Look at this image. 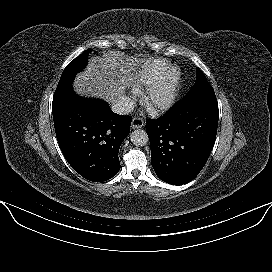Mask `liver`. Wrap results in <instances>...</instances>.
Returning a JSON list of instances; mask_svg holds the SVG:
<instances>
[{"label": "liver", "instance_id": "liver-1", "mask_svg": "<svg viewBox=\"0 0 272 272\" xmlns=\"http://www.w3.org/2000/svg\"><path fill=\"white\" fill-rule=\"evenodd\" d=\"M139 64L137 57L109 50L89 60L86 70L76 76L74 89L80 95L100 97L113 103L124 96L129 86L138 82Z\"/></svg>", "mask_w": 272, "mask_h": 272}]
</instances>
